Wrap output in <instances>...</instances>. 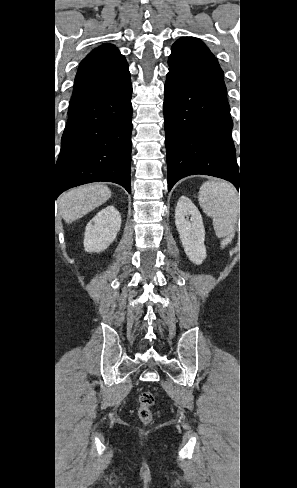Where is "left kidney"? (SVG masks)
<instances>
[{"label":"left kidney","instance_id":"left-kidney-1","mask_svg":"<svg viewBox=\"0 0 297 488\" xmlns=\"http://www.w3.org/2000/svg\"><path fill=\"white\" fill-rule=\"evenodd\" d=\"M175 224L186 255L194 264H201L206 258L205 229L199 210L186 196L178 200Z\"/></svg>","mask_w":297,"mask_h":488}]
</instances>
